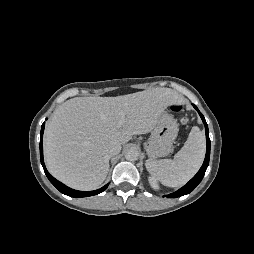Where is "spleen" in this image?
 Segmentation results:
<instances>
[{
  "instance_id": "obj_1",
  "label": "spleen",
  "mask_w": 254,
  "mask_h": 254,
  "mask_svg": "<svg viewBox=\"0 0 254 254\" xmlns=\"http://www.w3.org/2000/svg\"><path fill=\"white\" fill-rule=\"evenodd\" d=\"M204 133L194 126L189 136L173 159L155 161L148 159L146 168L149 173L168 187H179L187 183L199 170L205 156Z\"/></svg>"
}]
</instances>
